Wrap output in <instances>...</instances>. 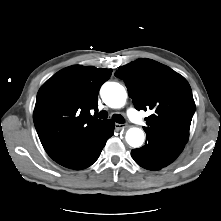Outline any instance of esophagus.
<instances>
[{
	"mask_svg": "<svg viewBox=\"0 0 221 221\" xmlns=\"http://www.w3.org/2000/svg\"><path fill=\"white\" fill-rule=\"evenodd\" d=\"M126 127H127L126 124H119V123H116V124H115V129H116L117 131H119V130H121V129H124V128H126Z\"/></svg>",
	"mask_w": 221,
	"mask_h": 221,
	"instance_id": "obj_1",
	"label": "esophagus"
}]
</instances>
